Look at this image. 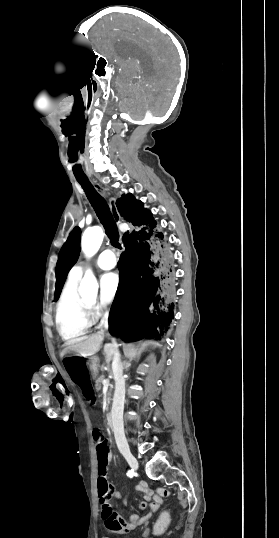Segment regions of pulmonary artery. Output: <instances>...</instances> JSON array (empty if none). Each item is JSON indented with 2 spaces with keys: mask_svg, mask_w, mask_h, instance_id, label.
<instances>
[{
  "mask_svg": "<svg viewBox=\"0 0 279 538\" xmlns=\"http://www.w3.org/2000/svg\"><path fill=\"white\" fill-rule=\"evenodd\" d=\"M117 260L116 253L112 249H106L96 257L94 263L102 270H109L115 266ZM86 267L87 263L85 261L78 262L72 267L70 274L73 276L81 275L84 273Z\"/></svg>",
  "mask_w": 279,
  "mask_h": 538,
  "instance_id": "1",
  "label": "pulmonary artery"
}]
</instances>
